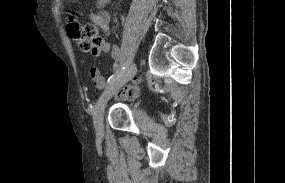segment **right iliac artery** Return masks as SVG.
<instances>
[{
    "label": "right iliac artery",
    "instance_id": "right-iliac-artery-1",
    "mask_svg": "<svg viewBox=\"0 0 285 183\" xmlns=\"http://www.w3.org/2000/svg\"><path fill=\"white\" fill-rule=\"evenodd\" d=\"M130 64V59L119 69V71H117L116 73H114L109 79H108V83H112L113 81H115L117 78H119L124 72L125 70L128 68Z\"/></svg>",
    "mask_w": 285,
    "mask_h": 183
}]
</instances>
